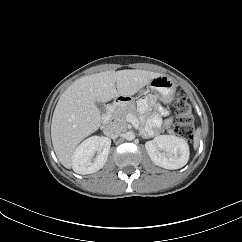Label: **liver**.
I'll use <instances>...</instances> for the list:
<instances>
[{
    "label": "liver",
    "instance_id": "6515ba94",
    "mask_svg": "<svg viewBox=\"0 0 242 242\" xmlns=\"http://www.w3.org/2000/svg\"><path fill=\"white\" fill-rule=\"evenodd\" d=\"M161 74L145 70L105 71L84 76L61 95L53 113L51 137L58 160L72 167L76 146L101 126L96 102L130 97Z\"/></svg>",
    "mask_w": 242,
    "mask_h": 242
}]
</instances>
